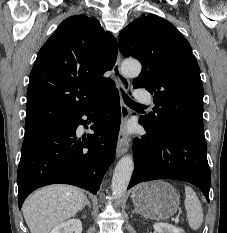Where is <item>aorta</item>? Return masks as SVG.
I'll return each instance as SVG.
<instances>
[{
  "mask_svg": "<svg viewBox=\"0 0 227 233\" xmlns=\"http://www.w3.org/2000/svg\"><path fill=\"white\" fill-rule=\"evenodd\" d=\"M121 71L128 77H136L141 72V64L136 60H126L121 65ZM134 162L130 155H126L117 163L112 178V193L120 198L127 190L132 173Z\"/></svg>",
  "mask_w": 227,
  "mask_h": 233,
  "instance_id": "obj_1",
  "label": "aorta"
}]
</instances>
